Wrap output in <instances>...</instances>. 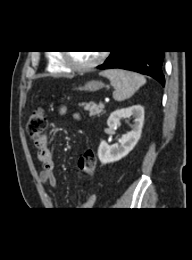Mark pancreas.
<instances>
[{
	"label": "pancreas",
	"mask_w": 192,
	"mask_h": 260,
	"mask_svg": "<svg viewBox=\"0 0 192 260\" xmlns=\"http://www.w3.org/2000/svg\"><path fill=\"white\" fill-rule=\"evenodd\" d=\"M81 106L84 107L85 111L89 112L90 116H96L103 112L104 107L96 105L95 103H82Z\"/></svg>",
	"instance_id": "1"
}]
</instances>
